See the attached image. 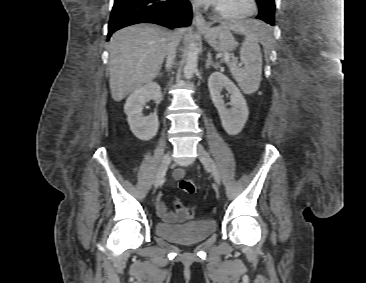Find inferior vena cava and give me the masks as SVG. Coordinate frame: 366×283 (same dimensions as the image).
I'll return each mask as SVG.
<instances>
[{"mask_svg":"<svg viewBox=\"0 0 366 283\" xmlns=\"http://www.w3.org/2000/svg\"><path fill=\"white\" fill-rule=\"evenodd\" d=\"M179 40H180V34L178 31H176L173 33L171 41L169 43L167 59H166V69L167 70H170L173 65Z\"/></svg>","mask_w":366,"mask_h":283,"instance_id":"obj_1","label":"inferior vena cava"}]
</instances>
